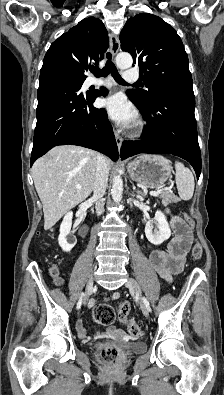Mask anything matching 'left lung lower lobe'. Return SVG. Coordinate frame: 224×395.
I'll list each match as a JSON object with an SVG mask.
<instances>
[{"label": "left lung lower lobe", "mask_w": 224, "mask_h": 395, "mask_svg": "<svg viewBox=\"0 0 224 395\" xmlns=\"http://www.w3.org/2000/svg\"><path fill=\"white\" fill-rule=\"evenodd\" d=\"M127 95L147 120V126L143 129L142 140L123 142L121 158L139 153L173 154L187 160L199 178L201 153L194 115V94L163 97L151 105H142L131 94Z\"/></svg>", "instance_id": "left-lung-lower-lobe-1"}]
</instances>
